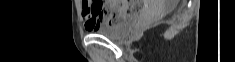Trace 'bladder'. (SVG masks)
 I'll use <instances>...</instances> for the list:
<instances>
[{
    "label": "bladder",
    "instance_id": "31cf9c89",
    "mask_svg": "<svg viewBox=\"0 0 235 62\" xmlns=\"http://www.w3.org/2000/svg\"><path fill=\"white\" fill-rule=\"evenodd\" d=\"M136 19V15H130L114 24L101 25L94 32L108 39H120L129 33Z\"/></svg>",
    "mask_w": 235,
    "mask_h": 62
}]
</instances>
